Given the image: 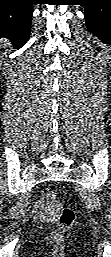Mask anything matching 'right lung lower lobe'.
<instances>
[{
    "label": "right lung lower lobe",
    "instance_id": "obj_1",
    "mask_svg": "<svg viewBox=\"0 0 111 257\" xmlns=\"http://www.w3.org/2000/svg\"><path fill=\"white\" fill-rule=\"evenodd\" d=\"M32 0H0V37L8 38L14 47L29 39Z\"/></svg>",
    "mask_w": 111,
    "mask_h": 257
}]
</instances>
